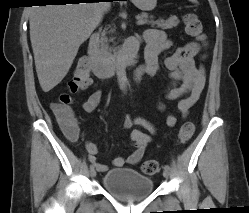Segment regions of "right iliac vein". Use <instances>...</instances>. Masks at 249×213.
<instances>
[{
    "label": "right iliac vein",
    "mask_w": 249,
    "mask_h": 213,
    "mask_svg": "<svg viewBox=\"0 0 249 213\" xmlns=\"http://www.w3.org/2000/svg\"><path fill=\"white\" fill-rule=\"evenodd\" d=\"M90 176H91V177H95V176H96V170H95V169H92V170L90 171Z\"/></svg>",
    "instance_id": "1"
}]
</instances>
